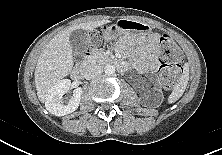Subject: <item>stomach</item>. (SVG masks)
Segmentation results:
<instances>
[{"mask_svg":"<svg viewBox=\"0 0 222 155\" xmlns=\"http://www.w3.org/2000/svg\"><path fill=\"white\" fill-rule=\"evenodd\" d=\"M151 31L149 24L124 18L118 20L116 24L105 27L102 37L108 42L120 39L132 46H138L146 44Z\"/></svg>","mask_w":222,"mask_h":155,"instance_id":"1","label":"stomach"}]
</instances>
